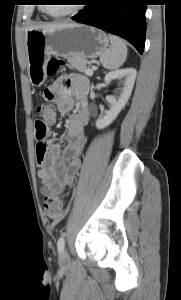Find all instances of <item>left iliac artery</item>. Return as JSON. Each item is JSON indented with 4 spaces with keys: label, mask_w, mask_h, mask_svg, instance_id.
<instances>
[{
    "label": "left iliac artery",
    "mask_w": 181,
    "mask_h": 300,
    "mask_svg": "<svg viewBox=\"0 0 181 300\" xmlns=\"http://www.w3.org/2000/svg\"><path fill=\"white\" fill-rule=\"evenodd\" d=\"M64 246H65V239H64V235H62L57 241L58 251L62 252L64 250Z\"/></svg>",
    "instance_id": "1"
}]
</instances>
